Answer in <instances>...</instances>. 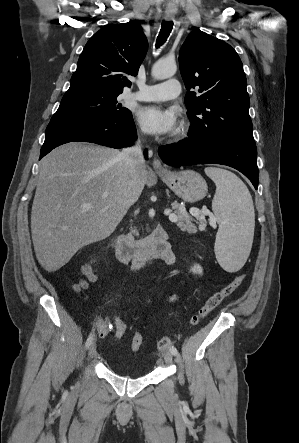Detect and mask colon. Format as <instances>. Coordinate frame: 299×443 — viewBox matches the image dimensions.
I'll use <instances>...</instances> for the list:
<instances>
[{
	"mask_svg": "<svg viewBox=\"0 0 299 443\" xmlns=\"http://www.w3.org/2000/svg\"><path fill=\"white\" fill-rule=\"evenodd\" d=\"M94 277L93 269L90 266L82 267L80 271V277L74 284L75 289L83 288L88 281ZM244 280L243 275L236 276L228 285L222 288L220 291L212 295L203 307L200 309L198 314L193 316L190 320V326H196L202 319H204L210 312L216 309L225 299L230 297L242 284ZM128 331V322L124 317H117L111 323L110 334L116 338L120 339L125 336ZM176 336L164 337L157 343V351H164L171 346L175 340ZM143 344V336L140 332L136 331L132 338L130 347L133 352H138Z\"/></svg>",
	"mask_w": 299,
	"mask_h": 443,
	"instance_id": "5ec220e1",
	"label": "colon"
}]
</instances>
